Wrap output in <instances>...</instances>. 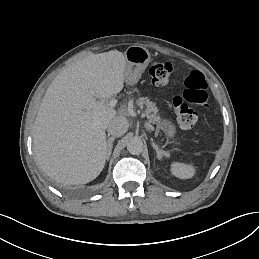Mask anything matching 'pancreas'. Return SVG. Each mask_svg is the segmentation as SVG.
Instances as JSON below:
<instances>
[{
    "mask_svg": "<svg viewBox=\"0 0 259 259\" xmlns=\"http://www.w3.org/2000/svg\"><path fill=\"white\" fill-rule=\"evenodd\" d=\"M137 105L140 107L146 106L145 114L150 123L157 124V130L161 128L160 126V117L157 115L158 109L156 104L151 102L148 98H139L136 101Z\"/></svg>",
    "mask_w": 259,
    "mask_h": 259,
    "instance_id": "1",
    "label": "pancreas"
}]
</instances>
